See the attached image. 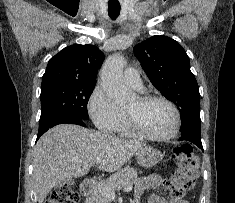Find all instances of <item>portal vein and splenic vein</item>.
<instances>
[{"mask_svg": "<svg viewBox=\"0 0 235 203\" xmlns=\"http://www.w3.org/2000/svg\"><path fill=\"white\" fill-rule=\"evenodd\" d=\"M101 161H102V158L98 157L95 162H96V164H100ZM131 190H132V186H127V187L124 188L125 192H130ZM104 193L108 198H110L112 200L115 198V192H114L113 189L105 187L104 188Z\"/></svg>", "mask_w": 235, "mask_h": 203, "instance_id": "portal-vein-and-splenic-vein-1", "label": "portal vein and splenic vein"}]
</instances>
